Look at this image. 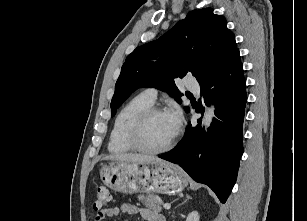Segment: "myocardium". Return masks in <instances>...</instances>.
Returning <instances> with one entry per match:
<instances>
[{
  "label": "myocardium",
  "mask_w": 307,
  "mask_h": 221,
  "mask_svg": "<svg viewBox=\"0 0 307 221\" xmlns=\"http://www.w3.org/2000/svg\"><path fill=\"white\" fill-rule=\"evenodd\" d=\"M162 113L168 112L164 108L151 106L139 113L134 119L128 133V142L134 150L145 154H160L170 150L173 147L179 134L178 130L174 133L171 139L161 147L150 148L144 145L142 142L143 131L149 119L156 114Z\"/></svg>",
  "instance_id": "f54148a6"
}]
</instances>
